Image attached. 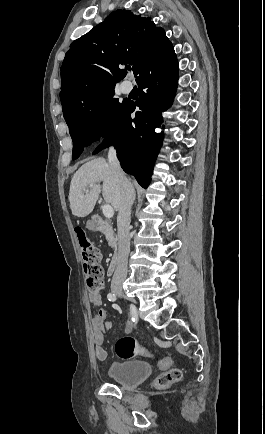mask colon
Here are the masks:
<instances>
[{"label":"colon","mask_w":265,"mask_h":434,"mask_svg":"<svg viewBox=\"0 0 265 434\" xmlns=\"http://www.w3.org/2000/svg\"><path fill=\"white\" fill-rule=\"evenodd\" d=\"M74 233L84 263L87 289L95 298H99L104 292L103 269L100 266V250L90 241L83 227H76ZM114 350L121 360H129L140 355L144 356L147 353L142 343L134 336L129 335L118 340L114 345ZM172 364L171 358H163L157 362V366L160 369L167 370L157 377L156 385L158 387H169L181 378V370L172 368Z\"/></svg>","instance_id":"colon-1"}]
</instances>
